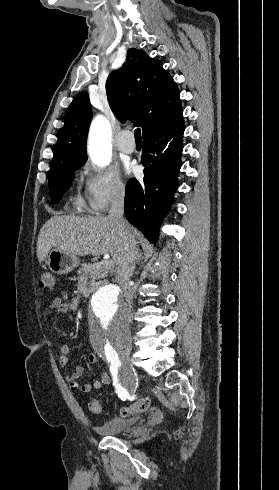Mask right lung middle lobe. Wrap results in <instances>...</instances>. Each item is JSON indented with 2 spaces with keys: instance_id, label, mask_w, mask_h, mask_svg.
Returning a JSON list of instances; mask_svg holds the SVG:
<instances>
[{
  "instance_id": "obj_1",
  "label": "right lung middle lobe",
  "mask_w": 279,
  "mask_h": 490,
  "mask_svg": "<svg viewBox=\"0 0 279 490\" xmlns=\"http://www.w3.org/2000/svg\"><path fill=\"white\" fill-rule=\"evenodd\" d=\"M84 163L85 162L78 165L61 168L50 174L49 192H50V197L53 201H56L57 203L60 201L63 192L67 191L68 188L71 186L72 179H73V175L71 174L77 169H79L80 167H82Z\"/></svg>"
}]
</instances>
